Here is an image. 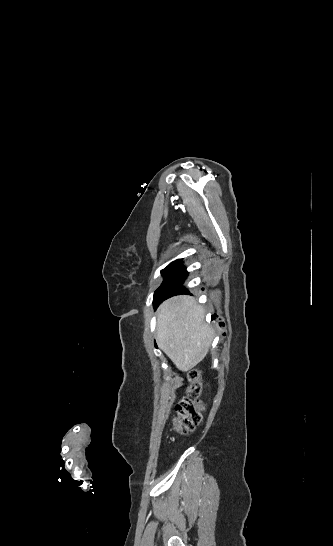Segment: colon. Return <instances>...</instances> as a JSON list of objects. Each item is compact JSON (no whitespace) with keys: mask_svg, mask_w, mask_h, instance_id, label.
Returning <instances> with one entry per match:
<instances>
[{"mask_svg":"<svg viewBox=\"0 0 333 546\" xmlns=\"http://www.w3.org/2000/svg\"><path fill=\"white\" fill-rule=\"evenodd\" d=\"M191 386L189 389L190 397L184 398L176 406V417L174 419V428L182 434H189L195 430L202 420V403L198 399L201 394V384L199 373L193 371L188 376Z\"/></svg>","mask_w":333,"mask_h":546,"instance_id":"5ec220e1","label":"colon"}]
</instances>
